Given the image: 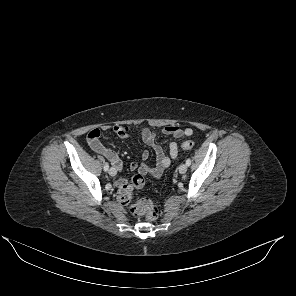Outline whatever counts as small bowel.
I'll return each instance as SVG.
<instances>
[{
	"label": "small bowel",
	"mask_w": 296,
	"mask_h": 296,
	"mask_svg": "<svg viewBox=\"0 0 296 296\" xmlns=\"http://www.w3.org/2000/svg\"><path fill=\"white\" fill-rule=\"evenodd\" d=\"M110 129H112L113 132L122 139H127L130 137L131 132L130 129L127 127H123L120 125H115L113 127L104 125L101 128H94L88 133L87 144L94 152L107 158L116 169V172L118 171V173H120L122 171V161L119 155L112 149L105 147L100 141L101 133ZM161 134L180 138L183 136H191L193 134V130L191 128L183 129L179 125L173 124L164 127L161 130ZM139 135L143 142L154 150L156 155V163L154 166H150L146 163L138 164L137 162H132L130 164V170H138L139 172L151 175L154 178H159L161 177L163 172L170 166L171 161L177 158L179 151L178 145L176 142H171L168 146L169 155H167L163 147L156 141V132L148 128H141L139 129ZM149 156L150 154L147 150L141 153V159L143 161H146ZM126 183V179L120 175H118L115 180V184L119 188H121L122 185Z\"/></svg>",
	"instance_id": "c3829d8e"
}]
</instances>
